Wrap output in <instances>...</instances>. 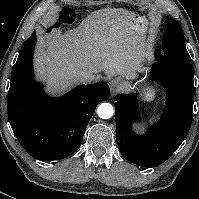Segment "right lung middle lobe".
<instances>
[{
	"instance_id": "1",
	"label": "right lung middle lobe",
	"mask_w": 199,
	"mask_h": 199,
	"mask_svg": "<svg viewBox=\"0 0 199 199\" xmlns=\"http://www.w3.org/2000/svg\"><path fill=\"white\" fill-rule=\"evenodd\" d=\"M36 44V34L35 32L31 35V37L24 43L22 49L19 53L17 62L20 61L29 51L34 49Z\"/></svg>"
}]
</instances>
